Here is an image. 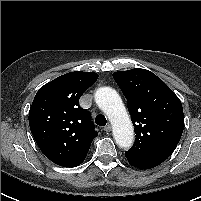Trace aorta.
Instances as JSON below:
<instances>
[{
	"label": "aorta",
	"mask_w": 201,
	"mask_h": 201,
	"mask_svg": "<svg viewBox=\"0 0 201 201\" xmlns=\"http://www.w3.org/2000/svg\"><path fill=\"white\" fill-rule=\"evenodd\" d=\"M95 101L108 116L117 145L130 148L133 144L134 129L119 94L111 87H101L95 92Z\"/></svg>",
	"instance_id": "obj_1"
}]
</instances>
